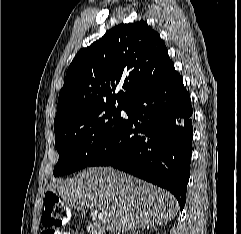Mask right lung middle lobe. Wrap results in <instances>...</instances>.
I'll list each match as a JSON object with an SVG mask.
<instances>
[{
    "label": "right lung middle lobe",
    "instance_id": "obj_1",
    "mask_svg": "<svg viewBox=\"0 0 241 234\" xmlns=\"http://www.w3.org/2000/svg\"><path fill=\"white\" fill-rule=\"evenodd\" d=\"M126 104L103 105L90 111L78 122L55 131V146L59 160L54 168V176L73 173L90 162L109 143L122 118L121 110Z\"/></svg>",
    "mask_w": 241,
    "mask_h": 234
}]
</instances>
